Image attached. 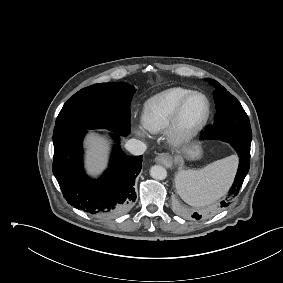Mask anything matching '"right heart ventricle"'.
Returning a JSON list of instances; mask_svg holds the SVG:
<instances>
[{
    "label": "right heart ventricle",
    "instance_id": "1",
    "mask_svg": "<svg viewBox=\"0 0 283 283\" xmlns=\"http://www.w3.org/2000/svg\"><path fill=\"white\" fill-rule=\"evenodd\" d=\"M190 91L183 87H173L146 100L141 114L143 128L153 134L165 130L177 104Z\"/></svg>",
    "mask_w": 283,
    "mask_h": 283
}]
</instances>
